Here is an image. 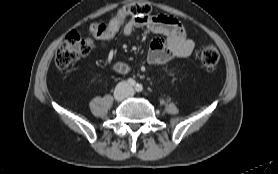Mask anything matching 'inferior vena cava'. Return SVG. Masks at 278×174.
Wrapping results in <instances>:
<instances>
[{
  "label": "inferior vena cava",
  "instance_id": "602c4592",
  "mask_svg": "<svg viewBox=\"0 0 278 174\" xmlns=\"http://www.w3.org/2000/svg\"><path fill=\"white\" fill-rule=\"evenodd\" d=\"M131 92H132V89L130 87H127Z\"/></svg>",
  "mask_w": 278,
  "mask_h": 174
}]
</instances>
